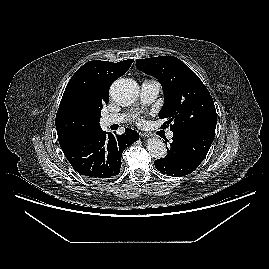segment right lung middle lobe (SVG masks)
<instances>
[{"label":"right lung middle lobe","mask_w":269,"mask_h":269,"mask_svg":"<svg viewBox=\"0 0 269 269\" xmlns=\"http://www.w3.org/2000/svg\"><path fill=\"white\" fill-rule=\"evenodd\" d=\"M101 109L102 108H99V109L96 110V116H97L98 120H100V117H101V114H100Z\"/></svg>","instance_id":"obj_1"}]
</instances>
